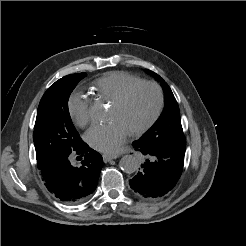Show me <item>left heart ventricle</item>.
Here are the masks:
<instances>
[{
  "mask_svg": "<svg viewBox=\"0 0 246 246\" xmlns=\"http://www.w3.org/2000/svg\"><path fill=\"white\" fill-rule=\"evenodd\" d=\"M158 95L151 86L136 89L121 106L112 104L109 112L111 120H120L129 131L143 126L154 114Z\"/></svg>",
  "mask_w": 246,
  "mask_h": 246,
  "instance_id": "obj_1",
  "label": "left heart ventricle"
}]
</instances>
